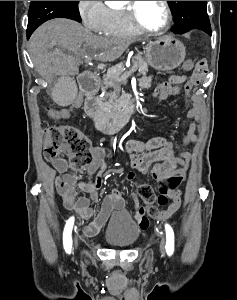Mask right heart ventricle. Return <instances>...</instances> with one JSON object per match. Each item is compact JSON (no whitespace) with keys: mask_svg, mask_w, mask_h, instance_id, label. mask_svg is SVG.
<instances>
[{"mask_svg":"<svg viewBox=\"0 0 237 300\" xmlns=\"http://www.w3.org/2000/svg\"><path fill=\"white\" fill-rule=\"evenodd\" d=\"M111 34L122 36L137 35L139 31L134 28L128 19L124 7L111 9Z\"/></svg>","mask_w":237,"mask_h":300,"instance_id":"right-heart-ventricle-1","label":"right heart ventricle"}]
</instances>
